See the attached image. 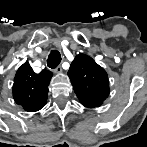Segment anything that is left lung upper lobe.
<instances>
[{
	"label": "left lung upper lobe",
	"instance_id": "5c2ea615",
	"mask_svg": "<svg viewBox=\"0 0 147 147\" xmlns=\"http://www.w3.org/2000/svg\"><path fill=\"white\" fill-rule=\"evenodd\" d=\"M67 74L83 106L99 107L108 97L110 93L108 75L91 57L78 54Z\"/></svg>",
	"mask_w": 147,
	"mask_h": 147
}]
</instances>
